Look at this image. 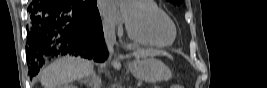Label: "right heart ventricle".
<instances>
[{
  "label": "right heart ventricle",
  "mask_w": 267,
  "mask_h": 88,
  "mask_svg": "<svg viewBox=\"0 0 267 88\" xmlns=\"http://www.w3.org/2000/svg\"><path fill=\"white\" fill-rule=\"evenodd\" d=\"M137 1H141L144 4H146L147 6H149L152 9H158L161 12H163V14L167 15L157 4L156 2L152 1V0H137ZM168 16V15H167ZM136 40V39H135ZM138 41V40H137ZM140 42V41H139ZM143 43V42H142Z\"/></svg>",
  "instance_id": "e07e8e85"
}]
</instances>
